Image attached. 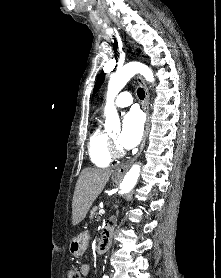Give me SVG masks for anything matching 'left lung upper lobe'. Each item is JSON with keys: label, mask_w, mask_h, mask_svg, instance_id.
<instances>
[{"label": "left lung upper lobe", "mask_w": 221, "mask_h": 278, "mask_svg": "<svg viewBox=\"0 0 221 278\" xmlns=\"http://www.w3.org/2000/svg\"><path fill=\"white\" fill-rule=\"evenodd\" d=\"M104 72H102L98 78H97V81L95 83V86H94V90H93V95L98 91V89L100 88V86L102 85L103 81H104Z\"/></svg>", "instance_id": "obj_1"}]
</instances>
